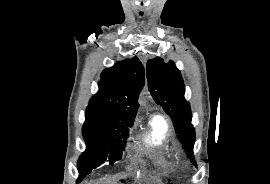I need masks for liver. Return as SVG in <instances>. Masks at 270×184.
Returning <instances> with one entry per match:
<instances>
[{"label": "liver", "instance_id": "6515ba94", "mask_svg": "<svg viewBox=\"0 0 270 184\" xmlns=\"http://www.w3.org/2000/svg\"><path fill=\"white\" fill-rule=\"evenodd\" d=\"M107 184H115V182L111 183L110 180H107Z\"/></svg>", "mask_w": 270, "mask_h": 184}]
</instances>
